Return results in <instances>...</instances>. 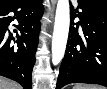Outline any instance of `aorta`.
Listing matches in <instances>:
<instances>
[{"mask_svg":"<svg viewBox=\"0 0 107 89\" xmlns=\"http://www.w3.org/2000/svg\"><path fill=\"white\" fill-rule=\"evenodd\" d=\"M70 25V8L68 0H58L52 40V63L59 64L65 54Z\"/></svg>","mask_w":107,"mask_h":89,"instance_id":"762f6f07","label":"aorta"}]
</instances>
